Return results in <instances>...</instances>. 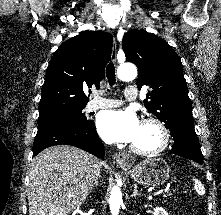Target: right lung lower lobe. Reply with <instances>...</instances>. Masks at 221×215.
<instances>
[{"label":"right lung lower lobe","instance_id":"98d812e1","mask_svg":"<svg viewBox=\"0 0 221 215\" xmlns=\"http://www.w3.org/2000/svg\"><path fill=\"white\" fill-rule=\"evenodd\" d=\"M60 144L81 148L98 158L104 157L102 144L93 121L86 123H65L38 129L34 141L33 156L43 149Z\"/></svg>","mask_w":221,"mask_h":215}]
</instances>
